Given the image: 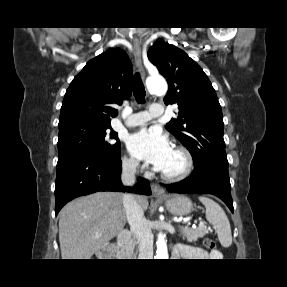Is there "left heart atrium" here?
Here are the masks:
<instances>
[{
	"label": "left heart atrium",
	"mask_w": 287,
	"mask_h": 287,
	"mask_svg": "<svg viewBox=\"0 0 287 287\" xmlns=\"http://www.w3.org/2000/svg\"><path fill=\"white\" fill-rule=\"evenodd\" d=\"M127 144L136 158L152 164L160 171L171 151L167 137L157 129L143 128L132 134Z\"/></svg>",
	"instance_id": "left-heart-atrium-1"
}]
</instances>
